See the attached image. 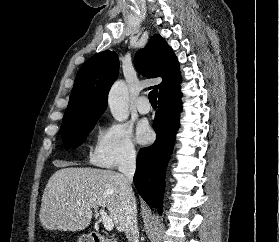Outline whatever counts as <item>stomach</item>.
<instances>
[{"label": "stomach", "instance_id": "obj_1", "mask_svg": "<svg viewBox=\"0 0 279 242\" xmlns=\"http://www.w3.org/2000/svg\"><path fill=\"white\" fill-rule=\"evenodd\" d=\"M83 240H84V237H81L79 242H83Z\"/></svg>", "mask_w": 279, "mask_h": 242}]
</instances>
